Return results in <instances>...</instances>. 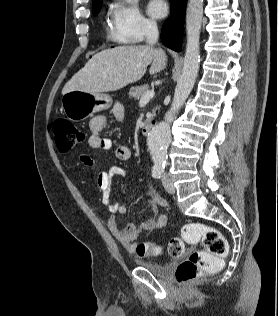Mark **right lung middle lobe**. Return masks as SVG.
I'll return each mask as SVG.
<instances>
[{"label":"right lung middle lobe","instance_id":"obj_1","mask_svg":"<svg viewBox=\"0 0 278 316\" xmlns=\"http://www.w3.org/2000/svg\"><path fill=\"white\" fill-rule=\"evenodd\" d=\"M101 5H102V1L98 2L96 5L93 6L94 15H97V13L100 11Z\"/></svg>","mask_w":278,"mask_h":316}]
</instances>
